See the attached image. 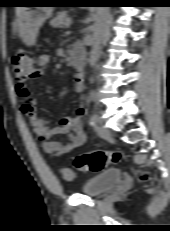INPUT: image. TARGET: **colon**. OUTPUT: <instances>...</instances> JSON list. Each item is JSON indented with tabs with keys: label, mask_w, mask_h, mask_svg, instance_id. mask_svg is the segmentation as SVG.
<instances>
[{
	"label": "colon",
	"mask_w": 170,
	"mask_h": 231,
	"mask_svg": "<svg viewBox=\"0 0 170 231\" xmlns=\"http://www.w3.org/2000/svg\"><path fill=\"white\" fill-rule=\"evenodd\" d=\"M11 61L14 76L18 84L26 83L29 79L36 76L37 64L24 50H17L12 56ZM121 159L122 154L116 150L94 151L77 155L74 159V165L81 171L98 172L109 165L120 162ZM58 173L61 178L67 182L75 179V173L69 167H59ZM137 175L142 180L147 178V173L145 172H138Z\"/></svg>",
	"instance_id": "colon-1"
}]
</instances>
